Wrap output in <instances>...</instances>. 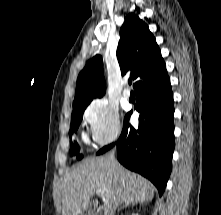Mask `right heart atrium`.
<instances>
[{
	"label": "right heart atrium",
	"mask_w": 221,
	"mask_h": 215,
	"mask_svg": "<svg viewBox=\"0 0 221 215\" xmlns=\"http://www.w3.org/2000/svg\"><path fill=\"white\" fill-rule=\"evenodd\" d=\"M83 118L91 138L98 145H106L120 135L118 109L105 98L92 101L85 109Z\"/></svg>",
	"instance_id": "1"
}]
</instances>
